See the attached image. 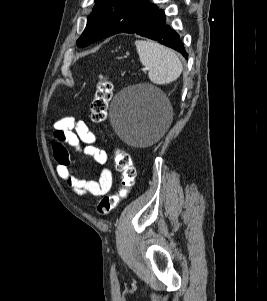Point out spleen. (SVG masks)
Here are the masks:
<instances>
[{
    "label": "spleen",
    "instance_id": "1",
    "mask_svg": "<svg viewBox=\"0 0 267 301\" xmlns=\"http://www.w3.org/2000/svg\"><path fill=\"white\" fill-rule=\"evenodd\" d=\"M135 45L140 62L148 68L154 84H169L181 75L183 66L173 50L152 41L136 40Z\"/></svg>",
    "mask_w": 267,
    "mask_h": 301
}]
</instances>
